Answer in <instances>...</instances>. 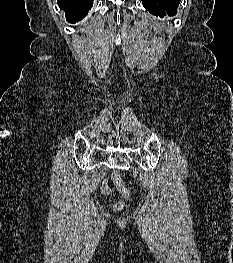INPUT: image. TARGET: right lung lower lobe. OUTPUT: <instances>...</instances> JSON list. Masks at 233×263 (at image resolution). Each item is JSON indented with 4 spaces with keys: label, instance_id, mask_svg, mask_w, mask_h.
I'll use <instances>...</instances> for the list:
<instances>
[{
    "label": "right lung lower lobe",
    "instance_id": "98d812e1",
    "mask_svg": "<svg viewBox=\"0 0 233 263\" xmlns=\"http://www.w3.org/2000/svg\"><path fill=\"white\" fill-rule=\"evenodd\" d=\"M57 3L65 11L68 22L75 23L86 16L93 5V0H57Z\"/></svg>",
    "mask_w": 233,
    "mask_h": 263
}]
</instances>
